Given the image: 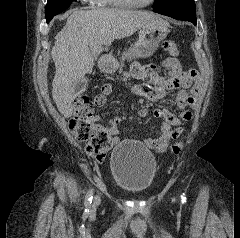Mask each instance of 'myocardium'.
Instances as JSON below:
<instances>
[{
	"mask_svg": "<svg viewBox=\"0 0 240 238\" xmlns=\"http://www.w3.org/2000/svg\"><path fill=\"white\" fill-rule=\"evenodd\" d=\"M116 3L125 8H142L151 5L155 0H148L145 3L132 2L128 0H115Z\"/></svg>",
	"mask_w": 240,
	"mask_h": 238,
	"instance_id": "f54148a6",
	"label": "myocardium"
}]
</instances>
